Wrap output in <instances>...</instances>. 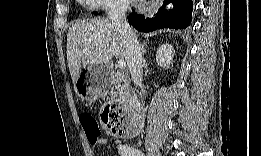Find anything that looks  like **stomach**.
Returning a JSON list of instances; mask_svg holds the SVG:
<instances>
[{
    "mask_svg": "<svg viewBox=\"0 0 261 156\" xmlns=\"http://www.w3.org/2000/svg\"><path fill=\"white\" fill-rule=\"evenodd\" d=\"M82 74L80 73L74 87L76 93L83 101L88 103L94 102L100 95L108 91L111 83L108 65H89Z\"/></svg>",
    "mask_w": 261,
    "mask_h": 156,
    "instance_id": "1",
    "label": "stomach"
}]
</instances>
